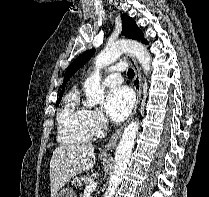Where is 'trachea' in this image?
Returning a JSON list of instances; mask_svg holds the SVG:
<instances>
[{
  "label": "trachea",
  "instance_id": "trachea-1",
  "mask_svg": "<svg viewBox=\"0 0 209 197\" xmlns=\"http://www.w3.org/2000/svg\"><path fill=\"white\" fill-rule=\"evenodd\" d=\"M127 75H128L129 78H133L134 75H135V73H134V71L130 68V69H128V71H127Z\"/></svg>",
  "mask_w": 209,
  "mask_h": 197
}]
</instances>
